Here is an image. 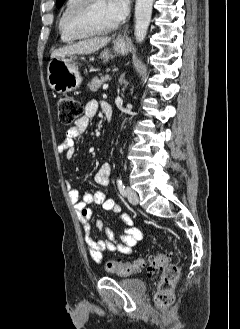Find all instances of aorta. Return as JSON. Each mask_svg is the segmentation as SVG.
Masks as SVG:
<instances>
[{
	"instance_id": "obj_1",
	"label": "aorta",
	"mask_w": 240,
	"mask_h": 329,
	"mask_svg": "<svg viewBox=\"0 0 240 329\" xmlns=\"http://www.w3.org/2000/svg\"><path fill=\"white\" fill-rule=\"evenodd\" d=\"M153 0H136L134 35L138 43H142L147 35L152 15Z\"/></svg>"
}]
</instances>
